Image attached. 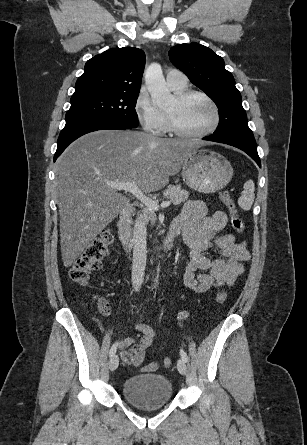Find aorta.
Instances as JSON below:
<instances>
[{
  "label": "aorta",
  "instance_id": "obj_1",
  "mask_svg": "<svg viewBox=\"0 0 307 445\" xmlns=\"http://www.w3.org/2000/svg\"><path fill=\"white\" fill-rule=\"evenodd\" d=\"M145 84L151 94L153 104L157 106H167L173 102V96L167 88L165 76H163L161 64L151 62L145 70ZM158 285L157 279L153 283V289Z\"/></svg>",
  "mask_w": 307,
  "mask_h": 445
}]
</instances>
